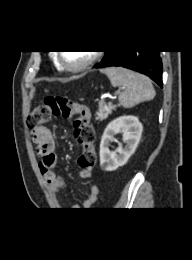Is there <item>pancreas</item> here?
Here are the masks:
<instances>
[{
  "label": "pancreas",
  "mask_w": 192,
  "mask_h": 260,
  "mask_svg": "<svg viewBox=\"0 0 192 260\" xmlns=\"http://www.w3.org/2000/svg\"><path fill=\"white\" fill-rule=\"evenodd\" d=\"M115 105H103L100 104L98 107V111L96 112V120H105L109 114L112 113L113 110H115Z\"/></svg>",
  "instance_id": "1"
}]
</instances>
